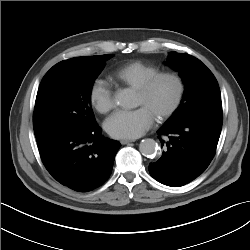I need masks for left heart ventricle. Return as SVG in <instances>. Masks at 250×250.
Wrapping results in <instances>:
<instances>
[{
  "label": "left heart ventricle",
  "mask_w": 250,
  "mask_h": 250,
  "mask_svg": "<svg viewBox=\"0 0 250 250\" xmlns=\"http://www.w3.org/2000/svg\"><path fill=\"white\" fill-rule=\"evenodd\" d=\"M175 84L168 79L160 80L146 96L136 93V106L146 107L154 117L166 109L175 96Z\"/></svg>",
  "instance_id": "1"
}]
</instances>
